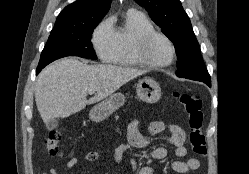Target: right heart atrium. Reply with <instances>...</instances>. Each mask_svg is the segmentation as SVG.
<instances>
[{"mask_svg": "<svg viewBox=\"0 0 249 174\" xmlns=\"http://www.w3.org/2000/svg\"><path fill=\"white\" fill-rule=\"evenodd\" d=\"M92 45L98 57L104 62H111L117 51V39L109 20L102 21L94 30Z\"/></svg>", "mask_w": 249, "mask_h": 174, "instance_id": "right-heart-atrium-1", "label": "right heart atrium"}]
</instances>
